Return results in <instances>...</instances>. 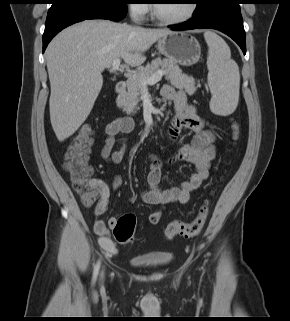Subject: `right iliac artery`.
<instances>
[{
	"instance_id": "right-iliac-artery-1",
	"label": "right iliac artery",
	"mask_w": 290,
	"mask_h": 321,
	"mask_svg": "<svg viewBox=\"0 0 290 321\" xmlns=\"http://www.w3.org/2000/svg\"><path fill=\"white\" fill-rule=\"evenodd\" d=\"M99 268H100V261H98L94 267V271H93V282H95L98 272H99Z\"/></svg>"
}]
</instances>
